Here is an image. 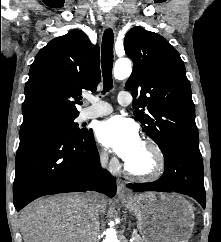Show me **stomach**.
Here are the masks:
<instances>
[{
  "label": "stomach",
  "mask_w": 221,
  "mask_h": 242,
  "mask_svg": "<svg viewBox=\"0 0 221 242\" xmlns=\"http://www.w3.org/2000/svg\"><path fill=\"white\" fill-rule=\"evenodd\" d=\"M122 204L136 216L144 242H188L194 212L182 196L148 192L123 199Z\"/></svg>",
  "instance_id": "obj_1"
}]
</instances>
